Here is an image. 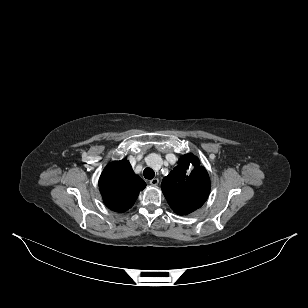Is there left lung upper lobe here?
<instances>
[{"mask_svg":"<svg viewBox=\"0 0 308 308\" xmlns=\"http://www.w3.org/2000/svg\"><path fill=\"white\" fill-rule=\"evenodd\" d=\"M192 166L194 169L191 171ZM162 191L170 207L178 215H187L200 208L208 198L210 180L193 154L184 155L178 165L164 177Z\"/></svg>","mask_w":308,"mask_h":308,"instance_id":"left-lung-upper-lobe-1","label":"left lung upper lobe"}]
</instances>
